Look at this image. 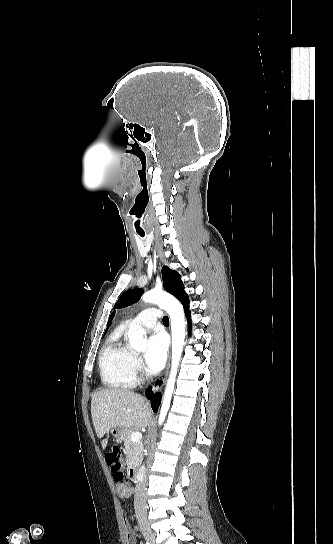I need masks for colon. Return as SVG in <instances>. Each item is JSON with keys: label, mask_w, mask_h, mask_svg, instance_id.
Here are the masks:
<instances>
[{"label": "colon", "mask_w": 333, "mask_h": 544, "mask_svg": "<svg viewBox=\"0 0 333 544\" xmlns=\"http://www.w3.org/2000/svg\"><path fill=\"white\" fill-rule=\"evenodd\" d=\"M106 462L111 466L113 478L118 484H123L125 475L123 472V460L118 446H113L106 455Z\"/></svg>", "instance_id": "1"}]
</instances>
